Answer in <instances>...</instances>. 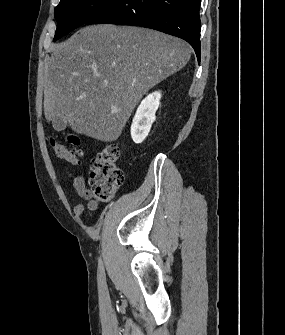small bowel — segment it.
<instances>
[{
  "instance_id": "small-bowel-1",
  "label": "small bowel",
  "mask_w": 285,
  "mask_h": 335,
  "mask_svg": "<svg viewBox=\"0 0 285 335\" xmlns=\"http://www.w3.org/2000/svg\"><path fill=\"white\" fill-rule=\"evenodd\" d=\"M73 186L76 192L82 196L83 198L87 199V209L93 211L97 208L98 203L97 201L92 199L91 192L86 188L84 179L82 177H77L73 181ZM85 211V207L81 204L75 206L74 213L77 217H80Z\"/></svg>"
}]
</instances>
